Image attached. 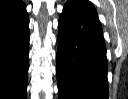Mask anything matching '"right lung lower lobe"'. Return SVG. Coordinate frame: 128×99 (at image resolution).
<instances>
[{
    "label": "right lung lower lobe",
    "instance_id": "right-lung-lower-lobe-1",
    "mask_svg": "<svg viewBox=\"0 0 128 99\" xmlns=\"http://www.w3.org/2000/svg\"><path fill=\"white\" fill-rule=\"evenodd\" d=\"M29 37L25 4L0 19V99H26Z\"/></svg>",
    "mask_w": 128,
    "mask_h": 99
}]
</instances>
